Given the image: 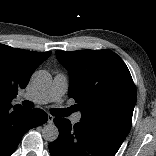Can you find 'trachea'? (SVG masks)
<instances>
[{
    "label": "trachea",
    "mask_w": 156,
    "mask_h": 156,
    "mask_svg": "<svg viewBox=\"0 0 156 156\" xmlns=\"http://www.w3.org/2000/svg\"><path fill=\"white\" fill-rule=\"evenodd\" d=\"M23 105L27 108L33 107V103L27 100L23 102ZM71 111H72L71 109H52L51 113L58 117H65L69 115Z\"/></svg>",
    "instance_id": "obj_1"
}]
</instances>
